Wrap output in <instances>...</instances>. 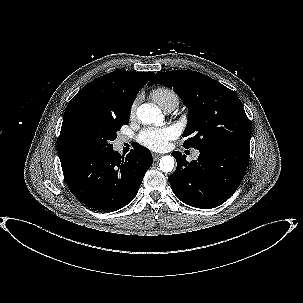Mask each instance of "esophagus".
Segmentation results:
<instances>
[{"label":"esophagus","instance_id":"34e87169","mask_svg":"<svg viewBox=\"0 0 303 303\" xmlns=\"http://www.w3.org/2000/svg\"><path fill=\"white\" fill-rule=\"evenodd\" d=\"M162 155L158 153H153V159L158 160Z\"/></svg>","mask_w":303,"mask_h":303}]
</instances>
